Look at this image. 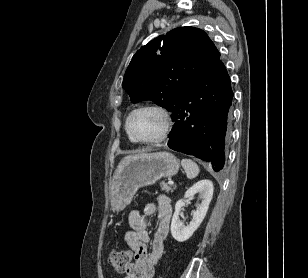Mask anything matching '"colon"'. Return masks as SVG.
<instances>
[{
  "label": "colon",
  "instance_id": "1",
  "mask_svg": "<svg viewBox=\"0 0 308 278\" xmlns=\"http://www.w3.org/2000/svg\"><path fill=\"white\" fill-rule=\"evenodd\" d=\"M132 253L128 250L113 251L108 255V263L117 273H124L130 264Z\"/></svg>",
  "mask_w": 308,
  "mask_h": 278
}]
</instances>
